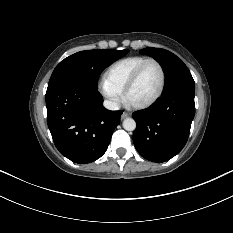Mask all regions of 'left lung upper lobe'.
<instances>
[{
  "label": "left lung upper lobe",
  "mask_w": 233,
  "mask_h": 233,
  "mask_svg": "<svg viewBox=\"0 0 233 233\" xmlns=\"http://www.w3.org/2000/svg\"><path fill=\"white\" fill-rule=\"evenodd\" d=\"M141 53L152 56L163 67L166 76L163 93L182 87L195 88L189 69L173 53L161 48H144Z\"/></svg>",
  "instance_id": "obj_1"
}]
</instances>
